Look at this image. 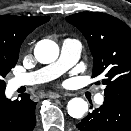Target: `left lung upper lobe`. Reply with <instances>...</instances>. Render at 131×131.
Returning a JSON list of instances; mask_svg holds the SVG:
<instances>
[{"label":"left lung upper lobe","mask_w":131,"mask_h":131,"mask_svg":"<svg viewBox=\"0 0 131 131\" xmlns=\"http://www.w3.org/2000/svg\"><path fill=\"white\" fill-rule=\"evenodd\" d=\"M85 36L94 58L92 77L104 76L105 97L131 105V29L105 13L66 17Z\"/></svg>","instance_id":"left-lung-upper-lobe-1"}]
</instances>
